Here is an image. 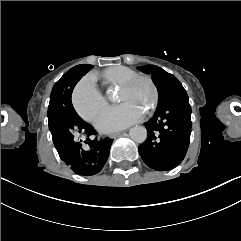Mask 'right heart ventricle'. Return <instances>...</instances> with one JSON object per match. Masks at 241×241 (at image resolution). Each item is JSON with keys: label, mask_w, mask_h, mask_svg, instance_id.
<instances>
[{"label": "right heart ventricle", "mask_w": 241, "mask_h": 241, "mask_svg": "<svg viewBox=\"0 0 241 241\" xmlns=\"http://www.w3.org/2000/svg\"><path fill=\"white\" fill-rule=\"evenodd\" d=\"M134 74V71L128 67L121 65H113L106 68L102 74L101 78L105 84H111L120 87H124L121 83L125 76ZM97 91V89L95 90ZM98 92V91H97ZM123 98V97H121ZM125 108L129 110H136L134 107L126 106Z\"/></svg>", "instance_id": "right-heart-ventricle-1"}]
</instances>
